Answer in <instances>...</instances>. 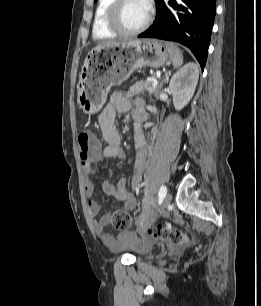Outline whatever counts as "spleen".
I'll list each match as a JSON object with an SVG mask.
<instances>
[{
  "label": "spleen",
  "mask_w": 261,
  "mask_h": 306,
  "mask_svg": "<svg viewBox=\"0 0 261 306\" xmlns=\"http://www.w3.org/2000/svg\"><path fill=\"white\" fill-rule=\"evenodd\" d=\"M166 44L173 66L175 68L180 67L183 63V56L180 49L173 45V43L167 42Z\"/></svg>",
  "instance_id": "1"
}]
</instances>
